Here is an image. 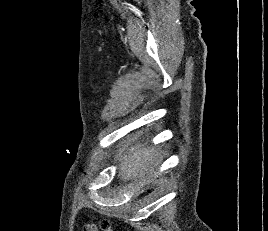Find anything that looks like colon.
<instances>
[{
	"mask_svg": "<svg viewBox=\"0 0 268 231\" xmlns=\"http://www.w3.org/2000/svg\"><path fill=\"white\" fill-rule=\"evenodd\" d=\"M100 231H112L111 224L108 220H103L99 226Z\"/></svg>",
	"mask_w": 268,
	"mask_h": 231,
	"instance_id": "colon-1",
	"label": "colon"
}]
</instances>
